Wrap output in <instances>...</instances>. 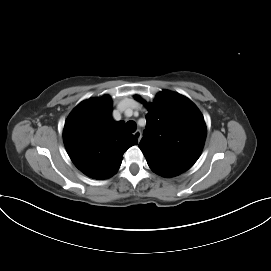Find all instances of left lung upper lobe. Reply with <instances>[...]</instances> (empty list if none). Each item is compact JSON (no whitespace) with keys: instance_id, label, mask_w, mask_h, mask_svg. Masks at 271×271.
<instances>
[{"instance_id":"left-lung-upper-lobe-1","label":"left lung upper lobe","mask_w":271,"mask_h":271,"mask_svg":"<svg viewBox=\"0 0 271 271\" xmlns=\"http://www.w3.org/2000/svg\"><path fill=\"white\" fill-rule=\"evenodd\" d=\"M146 106L147 124L139 148L147 163L179 173L188 170L199 158L206 137L201 112L188 98L171 91L158 93Z\"/></svg>"}]
</instances>
